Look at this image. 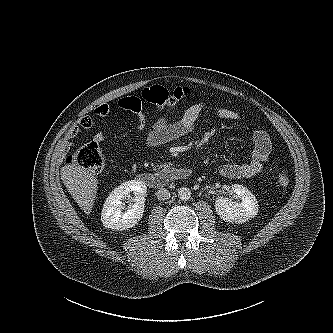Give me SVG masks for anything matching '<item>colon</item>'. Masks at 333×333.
Segmentation results:
<instances>
[{
    "label": "colon",
    "mask_w": 333,
    "mask_h": 333,
    "mask_svg": "<svg viewBox=\"0 0 333 333\" xmlns=\"http://www.w3.org/2000/svg\"><path fill=\"white\" fill-rule=\"evenodd\" d=\"M189 89L185 87H177L169 91L163 86H152L142 91V98L161 109H172L176 107L179 102L188 96ZM105 162V156L96 142H90L73 151L66 159L69 165H76L86 168L92 172H99ZM276 183L281 187H286L289 184V177L286 173L281 172L277 178Z\"/></svg>",
    "instance_id": "1"
}]
</instances>
